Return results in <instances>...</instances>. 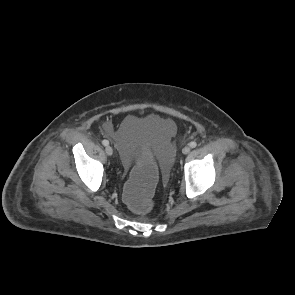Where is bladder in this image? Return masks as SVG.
<instances>
[{"label": "bladder", "mask_w": 295, "mask_h": 295, "mask_svg": "<svg viewBox=\"0 0 295 295\" xmlns=\"http://www.w3.org/2000/svg\"><path fill=\"white\" fill-rule=\"evenodd\" d=\"M175 132L174 123L159 115H130L123 119L114 132V137L122 151L117 153L121 169H129L131 160L149 159L159 166L161 176L173 173V150L170 140ZM129 155V156H128Z\"/></svg>", "instance_id": "obj_1"}]
</instances>
